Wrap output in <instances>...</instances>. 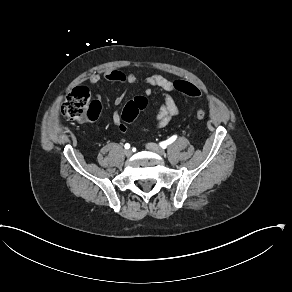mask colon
I'll return each instance as SVG.
<instances>
[{"label": "colon", "mask_w": 292, "mask_h": 292, "mask_svg": "<svg viewBox=\"0 0 292 292\" xmlns=\"http://www.w3.org/2000/svg\"><path fill=\"white\" fill-rule=\"evenodd\" d=\"M174 88L191 97L200 96L198 88L188 82L177 81L174 83ZM148 104V98L142 95L127 101L122 109L123 121L127 124L134 122L138 114L145 110ZM100 111L101 104L91 100L90 93L84 87H76L69 92L63 109L65 117L80 123H87L96 118ZM196 117L200 120L206 117V111L203 107L197 108Z\"/></svg>", "instance_id": "colon-1"}]
</instances>
